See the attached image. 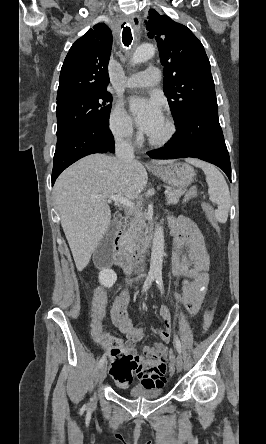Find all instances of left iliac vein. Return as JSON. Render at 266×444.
Returning a JSON list of instances; mask_svg holds the SVG:
<instances>
[{
  "instance_id": "obj_1",
  "label": "left iliac vein",
  "mask_w": 266,
  "mask_h": 444,
  "mask_svg": "<svg viewBox=\"0 0 266 444\" xmlns=\"http://www.w3.org/2000/svg\"><path fill=\"white\" fill-rule=\"evenodd\" d=\"M176 368L178 372H181L183 369V359L181 355L176 357Z\"/></svg>"
}]
</instances>
